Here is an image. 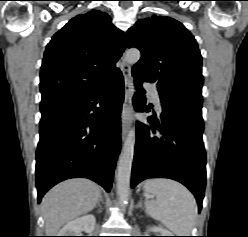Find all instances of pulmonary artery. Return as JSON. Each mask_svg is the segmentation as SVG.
Segmentation results:
<instances>
[{
    "instance_id": "pulmonary-artery-1",
    "label": "pulmonary artery",
    "mask_w": 248,
    "mask_h": 237,
    "mask_svg": "<svg viewBox=\"0 0 248 237\" xmlns=\"http://www.w3.org/2000/svg\"><path fill=\"white\" fill-rule=\"evenodd\" d=\"M144 86H145L146 89H148L149 91H151L153 93L154 97H157V92H156L155 88L151 84L145 83ZM155 105H156L157 109L160 111L161 110V105H160V102H159L158 99L155 100Z\"/></svg>"
}]
</instances>
